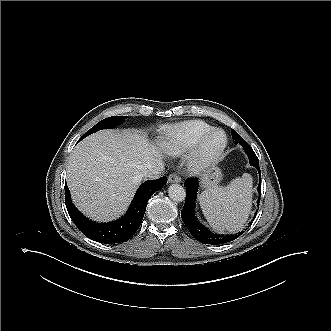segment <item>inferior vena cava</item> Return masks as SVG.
I'll return each mask as SVG.
<instances>
[{"instance_id":"inferior-vena-cava-1","label":"inferior vena cava","mask_w":331,"mask_h":331,"mask_svg":"<svg viewBox=\"0 0 331 331\" xmlns=\"http://www.w3.org/2000/svg\"><path fill=\"white\" fill-rule=\"evenodd\" d=\"M163 170H164L163 165H157L155 167L145 170L142 174V177H145V179L148 180H155L162 176Z\"/></svg>"}]
</instances>
